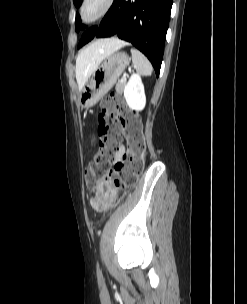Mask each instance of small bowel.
<instances>
[{
	"mask_svg": "<svg viewBox=\"0 0 247 304\" xmlns=\"http://www.w3.org/2000/svg\"><path fill=\"white\" fill-rule=\"evenodd\" d=\"M92 145H93V146L96 145V139H95V138H92ZM124 153H125V148H124V147H121V148L118 150L117 154H116V157H115L116 161H120L121 158H122V156L124 155Z\"/></svg>",
	"mask_w": 247,
	"mask_h": 304,
	"instance_id": "obj_1",
	"label": "small bowel"
}]
</instances>
